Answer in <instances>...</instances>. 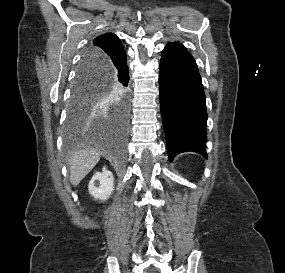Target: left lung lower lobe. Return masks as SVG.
Instances as JSON below:
<instances>
[{"label":"left lung lower lobe","mask_w":285,"mask_h":273,"mask_svg":"<svg viewBox=\"0 0 285 273\" xmlns=\"http://www.w3.org/2000/svg\"><path fill=\"white\" fill-rule=\"evenodd\" d=\"M160 109L170 161L179 153L205 150L207 112L196 62L180 43L168 44L159 74Z\"/></svg>","instance_id":"obj_1"}]
</instances>
